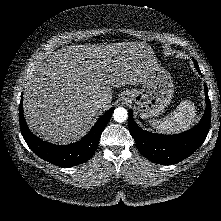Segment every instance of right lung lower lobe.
Masks as SVG:
<instances>
[{"instance_id": "obj_1", "label": "right lung lower lobe", "mask_w": 221, "mask_h": 221, "mask_svg": "<svg viewBox=\"0 0 221 221\" xmlns=\"http://www.w3.org/2000/svg\"><path fill=\"white\" fill-rule=\"evenodd\" d=\"M113 110L114 107L100 117L90 133L82 140L61 146L43 141L29 130L23 116L21 100L19 110L20 129L27 145L37 156L60 167H72L86 162L93 156L97 149L102 131L110 120Z\"/></svg>"}]
</instances>
